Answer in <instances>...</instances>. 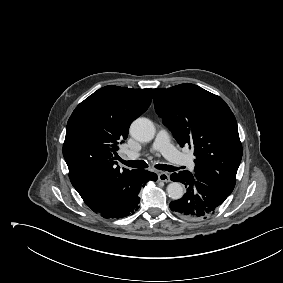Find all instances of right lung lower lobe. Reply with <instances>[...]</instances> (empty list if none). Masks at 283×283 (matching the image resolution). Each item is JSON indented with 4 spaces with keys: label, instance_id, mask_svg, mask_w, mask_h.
<instances>
[{
    "label": "right lung lower lobe",
    "instance_id": "obj_1",
    "mask_svg": "<svg viewBox=\"0 0 283 283\" xmlns=\"http://www.w3.org/2000/svg\"><path fill=\"white\" fill-rule=\"evenodd\" d=\"M148 180L156 181L157 175L146 170H137L135 173V185L132 188L130 195L121 202L98 213L103 217L111 218H122L132 214L139 208L138 204L140 202V198L138 197V193L140 188L142 184H145Z\"/></svg>",
    "mask_w": 283,
    "mask_h": 283
}]
</instances>
